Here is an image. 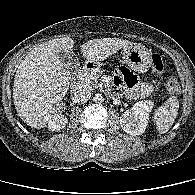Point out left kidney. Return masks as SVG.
Returning <instances> with one entry per match:
<instances>
[{"label": "left kidney", "instance_id": "1", "mask_svg": "<svg viewBox=\"0 0 195 195\" xmlns=\"http://www.w3.org/2000/svg\"><path fill=\"white\" fill-rule=\"evenodd\" d=\"M153 107L154 103L149 100L135 103L131 109L126 110L120 117L122 129L132 136L143 134L148 124L149 113Z\"/></svg>", "mask_w": 195, "mask_h": 195}]
</instances>
